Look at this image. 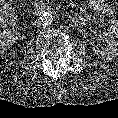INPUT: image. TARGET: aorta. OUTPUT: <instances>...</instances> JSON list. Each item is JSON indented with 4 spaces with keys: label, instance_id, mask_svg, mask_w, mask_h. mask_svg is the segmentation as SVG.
Here are the masks:
<instances>
[{
    "label": "aorta",
    "instance_id": "1",
    "mask_svg": "<svg viewBox=\"0 0 118 118\" xmlns=\"http://www.w3.org/2000/svg\"><path fill=\"white\" fill-rule=\"evenodd\" d=\"M53 20H54V17H53V15H52L51 13H49V12H45V13L42 15V17H41V21H42V23H43L44 25H50V24H52Z\"/></svg>",
    "mask_w": 118,
    "mask_h": 118
}]
</instances>
